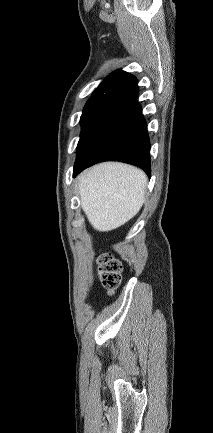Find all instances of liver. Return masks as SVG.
<instances>
[{"mask_svg":"<svg viewBox=\"0 0 213 433\" xmlns=\"http://www.w3.org/2000/svg\"><path fill=\"white\" fill-rule=\"evenodd\" d=\"M146 174L137 167L100 163L78 176L81 207L94 229L107 232L130 219L145 202Z\"/></svg>","mask_w":213,"mask_h":433,"instance_id":"liver-1","label":"liver"}]
</instances>
